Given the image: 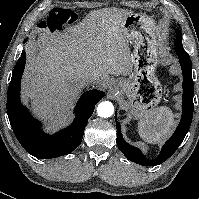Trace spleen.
I'll return each mask as SVG.
<instances>
[{
    "instance_id": "3e777b00",
    "label": "spleen",
    "mask_w": 199,
    "mask_h": 199,
    "mask_svg": "<svg viewBox=\"0 0 199 199\" xmlns=\"http://www.w3.org/2000/svg\"><path fill=\"white\" fill-rule=\"evenodd\" d=\"M174 124V115L171 109L161 106L150 111L140 120L138 133L145 142L157 144L170 135Z\"/></svg>"
}]
</instances>
